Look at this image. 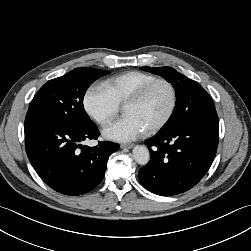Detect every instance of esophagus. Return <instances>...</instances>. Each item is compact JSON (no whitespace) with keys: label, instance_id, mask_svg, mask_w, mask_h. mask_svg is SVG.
Returning <instances> with one entry per match:
<instances>
[{"label":"esophagus","instance_id":"esophagus-1","mask_svg":"<svg viewBox=\"0 0 251 251\" xmlns=\"http://www.w3.org/2000/svg\"><path fill=\"white\" fill-rule=\"evenodd\" d=\"M133 144H121L120 145V148H122V149H131V148H133Z\"/></svg>","mask_w":251,"mask_h":251}]
</instances>
